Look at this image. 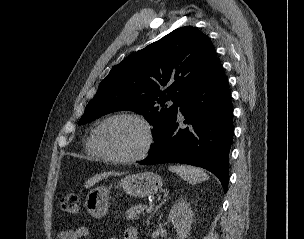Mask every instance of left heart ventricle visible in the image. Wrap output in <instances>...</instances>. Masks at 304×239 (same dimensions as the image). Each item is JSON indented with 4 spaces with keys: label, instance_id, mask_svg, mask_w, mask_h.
<instances>
[{
    "label": "left heart ventricle",
    "instance_id": "left-heart-ventricle-1",
    "mask_svg": "<svg viewBox=\"0 0 304 239\" xmlns=\"http://www.w3.org/2000/svg\"><path fill=\"white\" fill-rule=\"evenodd\" d=\"M99 140L107 152L127 157L141 150L145 142V130L132 119H116L104 125Z\"/></svg>",
    "mask_w": 304,
    "mask_h": 239
}]
</instances>
